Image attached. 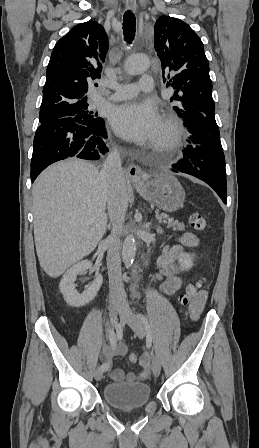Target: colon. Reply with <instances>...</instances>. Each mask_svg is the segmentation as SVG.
<instances>
[{
  "mask_svg": "<svg viewBox=\"0 0 259 448\" xmlns=\"http://www.w3.org/2000/svg\"><path fill=\"white\" fill-rule=\"evenodd\" d=\"M191 226L196 230H204L207 226L205 218L199 213H192L189 217ZM204 285L203 280H200L194 284H189L184 293L179 297V302L183 307H190L196 297L201 293L202 287ZM129 360L132 363L138 361V356L134 353L129 355Z\"/></svg>",
  "mask_w": 259,
  "mask_h": 448,
  "instance_id": "colon-1",
  "label": "colon"
}]
</instances>
